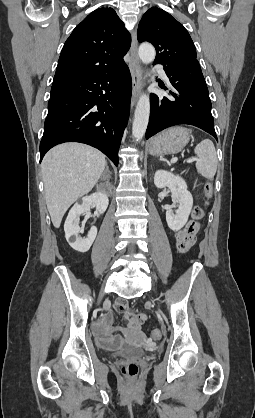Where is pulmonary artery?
<instances>
[{
	"mask_svg": "<svg viewBox=\"0 0 255 418\" xmlns=\"http://www.w3.org/2000/svg\"><path fill=\"white\" fill-rule=\"evenodd\" d=\"M157 69H158V71H159L160 75H161L163 78H166V74H165V72L163 71V69H162L160 66H158V67H157Z\"/></svg>",
	"mask_w": 255,
	"mask_h": 418,
	"instance_id": "obj_1",
	"label": "pulmonary artery"
}]
</instances>
